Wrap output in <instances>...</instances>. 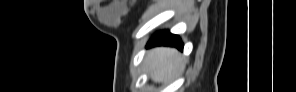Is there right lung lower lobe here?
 <instances>
[{"instance_id":"98d812e1","label":"right lung lower lobe","mask_w":296,"mask_h":92,"mask_svg":"<svg viewBox=\"0 0 296 92\" xmlns=\"http://www.w3.org/2000/svg\"><path fill=\"white\" fill-rule=\"evenodd\" d=\"M166 45L175 46L179 49H183V43L177 35L169 33V31H161L155 34L149 41L147 46Z\"/></svg>"}]
</instances>
